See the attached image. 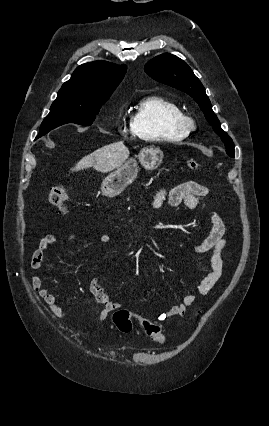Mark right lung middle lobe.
Listing matches in <instances>:
<instances>
[{
	"label": "right lung middle lobe",
	"instance_id": "1",
	"mask_svg": "<svg viewBox=\"0 0 269 426\" xmlns=\"http://www.w3.org/2000/svg\"><path fill=\"white\" fill-rule=\"evenodd\" d=\"M110 96L83 97L77 94H58L50 108V113L43 120L36 138L66 123L90 126L95 120L101 106Z\"/></svg>",
	"mask_w": 269,
	"mask_h": 426
}]
</instances>
